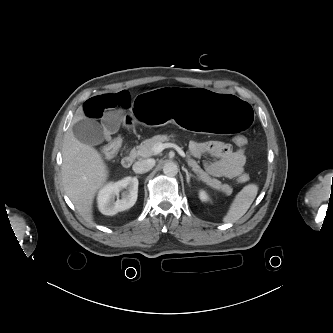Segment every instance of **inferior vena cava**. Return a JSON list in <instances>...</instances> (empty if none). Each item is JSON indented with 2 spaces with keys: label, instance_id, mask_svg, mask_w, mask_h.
<instances>
[{
  "label": "inferior vena cava",
  "instance_id": "inferior-vena-cava-1",
  "mask_svg": "<svg viewBox=\"0 0 333 333\" xmlns=\"http://www.w3.org/2000/svg\"><path fill=\"white\" fill-rule=\"evenodd\" d=\"M155 165L154 159L139 160L134 163L132 169L135 173L143 174L151 170Z\"/></svg>",
  "mask_w": 333,
  "mask_h": 333
}]
</instances>
